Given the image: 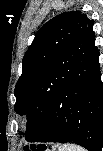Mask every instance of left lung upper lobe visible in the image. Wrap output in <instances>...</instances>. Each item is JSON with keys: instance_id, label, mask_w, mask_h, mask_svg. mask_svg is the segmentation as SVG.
Masks as SVG:
<instances>
[{"instance_id": "left-lung-upper-lobe-1", "label": "left lung upper lobe", "mask_w": 103, "mask_h": 151, "mask_svg": "<svg viewBox=\"0 0 103 151\" xmlns=\"http://www.w3.org/2000/svg\"><path fill=\"white\" fill-rule=\"evenodd\" d=\"M93 25L94 21L86 14L71 11L52 18L40 28L23 57L22 74L15 86L17 113L21 115L27 113L33 79L43 70H46L52 79H56L54 61L92 29Z\"/></svg>"}]
</instances>
